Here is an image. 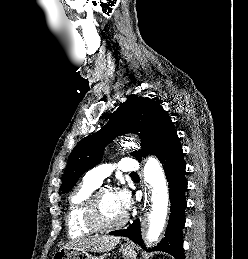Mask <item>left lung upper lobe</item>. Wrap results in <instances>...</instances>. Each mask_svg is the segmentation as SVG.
<instances>
[{"label": "left lung upper lobe", "instance_id": "obj_1", "mask_svg": "<svg viewBox=\"0 0 248 259\" xmlns=\"http://www.w3.org/2000/svg\"><path fill=\"white\" fill-rule=\"evenodd\" d=\"M125 133H138L142 139L143 151L133 153L139 161L142 154L157 155L179 140L173 122L157 101L132 95L103 128L83 138L73 149L63 176L62 191L72 189L84 172L101 161L104 147Z\"/></svg>", "mask_w": 248, "mask_h": 259}]
</instances>
